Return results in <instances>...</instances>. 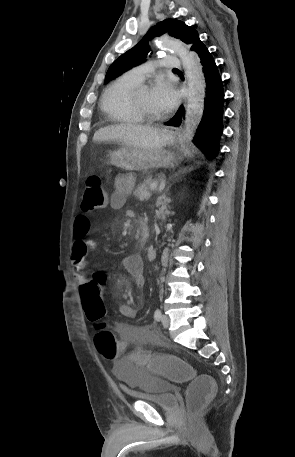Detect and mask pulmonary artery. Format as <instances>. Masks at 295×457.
Here are the masks:
<instances>
[{
    "label": "pulmonary artery",
    "instance_id": "e3ab8cb5",
    "mask_svg": "<svg viewBox=\"0 0 295 457\" xmlns=\"http://www.w3.org/2000/svg\"><path fill=\"white\" fill-rule=\"evenodd\" d=\"M157 66L165 68V69L175 70V69H179L181 67V61L176 56L168 55L156 63L149 62V63L142 64L140 66H137V67L131 69L127 74L129 76H131L133 79L141 82Z\"/></svg>",
    "mask_w": 295,
    "mask_h": 457
}]
</instances>
